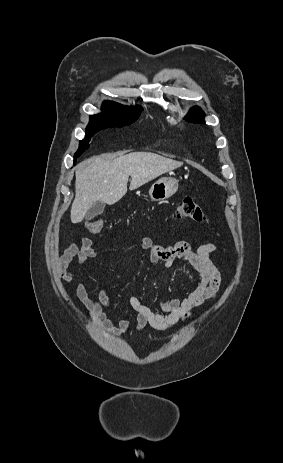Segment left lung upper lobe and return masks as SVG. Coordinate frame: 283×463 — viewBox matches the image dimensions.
I'll return each instance as SVG.
<instances>
[{
  "instance_id": "5c2ea615",
  "label": "left lung upper lobe",
  "mask_w": 283,
  "mask_h": 463,
  "mask_svg": "<svg viewBox=\"0 0 283 463\" xmlns=\"http://www.w3.org/2000/svg\"><path fill=\"white\" fill-rule=\"evenodd\" d=\"M204 113L197 107H193L190 113L185 117L189 122L204 123Z\"/></svg>"
}]
</instances>
